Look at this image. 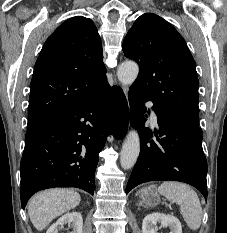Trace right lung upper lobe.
Listing matches in <instances>:
<instances>
[{"label":"right lung upper lobe","instance_id":"obj_1","mask_svg":"<svg viewBox=\"0 0 227 233\" xmlns=\"http://www.w3.org/2000/svg\"><path fill=\"white\" fill-rule=\"evenodd\" d=\"M108 85L101 40L91 19L66 20L46 40L31 80L28 128L77 105Z\"/></svg>","mask_w":227,"mask_h":233}]
</instances>
